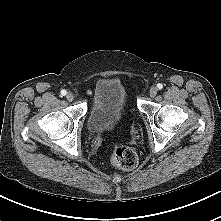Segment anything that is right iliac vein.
<instances>
[{
    "label": "right iliac vein",
    "mask_w": 221,
    "mask_h": 221,
    "mask_svg": "<svg viewBox=\"0 0 221 221\" xmlns=\"http://www.w3.org/2000/svg\"><path fill=\"white\" fill-rule=\"evenodd\" d=\"M66 99H67L68 101H72V100L74 99V95L69 92V93L66 94Z\"/></svg>",
    "instance_id": "1"
}]
</instances>
